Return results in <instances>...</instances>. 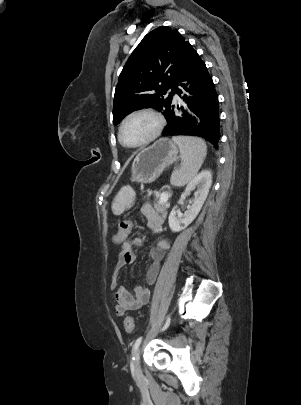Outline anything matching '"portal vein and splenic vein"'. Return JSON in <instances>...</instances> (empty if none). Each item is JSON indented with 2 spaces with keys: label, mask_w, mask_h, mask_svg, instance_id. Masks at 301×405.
I'll return each mask as SVG.
<instances>
[{
  "label": "portal vein and splenic vein",
  "mask_w": 301,
  "mask_h": 405,
  "mask_svg": "<svg viewBox=\"0 0 301 405\" xmlns=\"http://www.w3.org/2000/svg\"><path fill=\"white\" fill-rule=\"evenodd\" d=\"M160 200L161 201H167L168 200V195L165 192L161 193Z\"/></svg>",
  "instance_id": "obj_1"
}]
</instances>
